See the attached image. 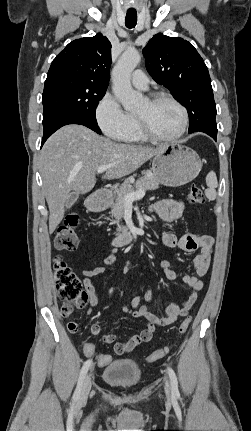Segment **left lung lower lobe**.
<instances>
[{"label": "left lung lower lobe", "instance_id": "1", "mask_svg": "<svg viewBox=\"0 0 251 431\" xmlns=\"http://www.w3.org/2000/svg\"><path fill=\"white\" fill-rule=\"evenodd\" d=\"M199 131H201V132H203L202 130H199ZM206 133V132H205ZM208 134V133H207ZM209 135V134H208ZM211 137H213L215 140H216V138H217V134L216 135H210Z\"/></svg>", "mask_w": 251, "mask_h": 431}]
</instances>
